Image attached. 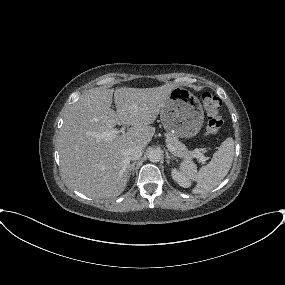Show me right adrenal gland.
I'll use <instances>...</instances> for the list:
<instances>
[{"label": "right adrenal gland", "instance_id": "2a0ac1e0", "mask_svg": "<svg viewBox=\"0 0 285 285\" xmlns=\"http://www.w3.org/2000/svg\"><path fill=\"white\" fill-rule=\"evenodd\" d=\"M135 165H136V162H133L130 166V169H129V174H128V178H130L131 174L132 176H134V169H135Z\"/></svg>", "mask_w": 285, "mask_h": 285}]
</instances>
